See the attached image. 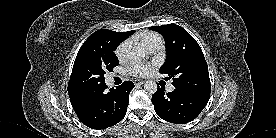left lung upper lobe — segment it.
Wrapping results in <instances>:
<instances>
[{"instance_id": "obj_1", "label": "left lung upper lobe", "mask_w": 276, "mask_h": 138, "mask_svg": "<svg viewBox=\"0 0 276 138\" xmlns=\"http://www.w3.org/2000/svg\"><path fill=\"white\" fill-rule=\"evenodd\" d=\"M166 44V62L159 72L173 78V86L197 94H210L207 62L197 41L176 24L153 26Z\"/></svg>"}]
</instances>
